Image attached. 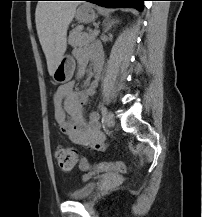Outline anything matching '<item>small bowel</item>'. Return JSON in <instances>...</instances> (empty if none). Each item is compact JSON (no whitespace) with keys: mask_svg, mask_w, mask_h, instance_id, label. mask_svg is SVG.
<instances>
[{"mask_svg":"<svg viewBox=\"0 0 202 217\" xmlns=\"http://www.w3.org/2000/svg\"><path fill=\"white\" fill-rule=\"evenodd\" d=\"M74 56L78 63L77 76L81 77L86 71L90 55L84 50L77 49ZM100 65V59L95 57L94 67L98 69ZM99 79V75L95 76L81 92L75 90L74 81L60 85L54 93L55 122L60 131L73 143L89 149L104 150L107 144L100 130L99 115L92 112L86 119L83 112V105L95 94Z\"/></svg>","mask_w":202,"mask_h":217,"instance_id":"obj_1","label":"small bowel"}]
</instances>
